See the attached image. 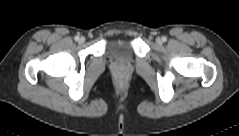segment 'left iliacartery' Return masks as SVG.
Returning <instances> with one entry per match:
<instances>
[{"mask_svg": "<svg viewBox=\"0 0 239 136\" xmlns=\"http://www.w3.org/2000/svg\"><path fill=\"white\" fill-rule=\"evenodd\" d=\"M162 41H163V42H166V41H167V37L163 36V37H162Z\"/></svg>", "mask_w": 239, "mask_h": 136, "instance_id": "1", "label": "left iliac artery"}]
</instances>
